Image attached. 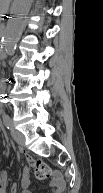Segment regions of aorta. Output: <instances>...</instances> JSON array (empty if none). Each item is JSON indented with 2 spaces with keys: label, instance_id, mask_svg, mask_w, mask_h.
Here are the masks:
<instances>
[{
  "label": "aorta",
  "instance_id": "762f6f07",
  "mask_svg": "<svg viewBox=\"0 0 103 193\" xmlns=\"http://www.w3.org/2000/svg\"><path fill=\"white\" fill-rule=\"evenodd\" d=\"M32 2L33 0H15L11 17L8 20L3 35V46L6 55L12 54L15 50L16 43L22 34Z\"/></svg>",
  "mask_w": 103,
  "mask_h": 193
}]
</instances>
